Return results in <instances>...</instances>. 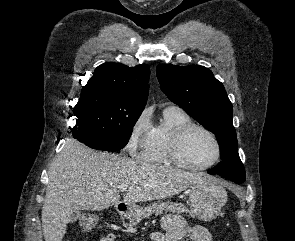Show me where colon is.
<instances>
[{
	"label": "colon",
	"mask_w": 295,
	"mask_h": 241,
	"mask_svg": "<svg viewBox=\"0 0 295 241\" xmlns=\"http://www.w3.org/2000/svg\"><path fill=\"white\" fill-rule=\"evenodd\" d=\"M95 223H96V221L94 220L93 217H89L86 219V226L87 227H92L95 225Z\"/></svg>",
	"instance_id": "5ec220e1"
}]
</instances>
